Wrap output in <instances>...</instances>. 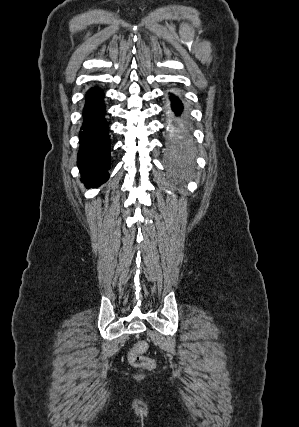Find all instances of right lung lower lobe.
Masks as SVG:
<instances>
[{"instance_id": "right-lung-lower-lobe-1", "label": "right lung lower lobe", "mask_w": 299, "mask_h": 427, "mask_svg": "<svg viewBox=\"0 0 299 427\" xmlns=\"http://www.w3.org/2000/svg\"><path fill=\"white\" fill-rule=\"evenodd\" d=\"M104 114L103 92L91 88L86 95L78 152L81 180L86 186L100 185L109 177L110 139Z\"/></svg>"}]
</instances>
